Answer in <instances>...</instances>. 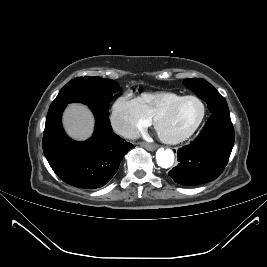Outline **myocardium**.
<instances>
[{
    "mask_svg": "<svg viewBox=\"0 0 267 267\" xmlns=\"http://www.w3.org/2000/svg\"><path fill=\"white\" fill-rule=\"evenodd\" d=\"M187 100H196L201 104L202 112H201V115H200L198 121L194 124V126L190 130H188L183 135H180L177 137H168V136L162 135L158 131V126H159L160 121L163 118L170 115L174 110H176L181 104H183ZM206 112H207L206 104L200 97H198L196 95H187V96H184L181 99L177 100L176 102L172 103L171 105H169L165 109L161 110L160 112H158L155 115V117L153 118V125H154V128L157 131L160 139L163 142H165L167 144H179V143H182V142L186 141L187 139H189L199 129V127L201 126V124L203 123V121L205 119Z\"/></svg>",
    "mask_w": 267,
    "mask_h": 267,
    "instance_id": "myocardium-1",
    "label": "myocardium"
}]
</instances>
